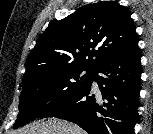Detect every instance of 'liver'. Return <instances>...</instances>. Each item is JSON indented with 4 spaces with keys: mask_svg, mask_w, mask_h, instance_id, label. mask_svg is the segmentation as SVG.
Here are the masks:
<instances>
[{
    "mask_svg": "<svg viewBox=\"0 0 153 134\" xmlns=\"http://www.w3.org/2000/svg\"><path fill=\"white\" fill-rule=\"evenodd\" d=\"M15 134H85L79 126L57 118L38 121L20 129Z\"/></svg>",
    "mask_w": 153,
    "mask_h": 134,
    "instance_id": "1",
    "label": "liver"
}]
</instances>
